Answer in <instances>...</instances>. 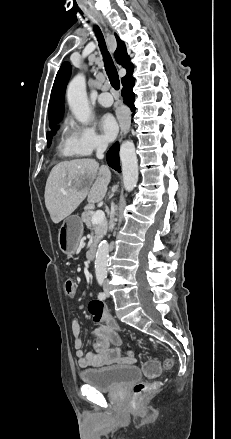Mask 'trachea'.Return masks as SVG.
Listing matches in <instances>:
<instances>
[{"mask_svg":"<svg viewBox=\"0 0 231 439\" xmlns=\"http://www.w3.org/2000/svg\"><path fill=\"white\" fill-rule=\"evenodd\" d=\"M94 31H95L96 37L98 39V42H99L100 50H101L103 57H104L105 70L107 72L110 83L115 90H119V88H120L119 75H118L117 69L114 65V62L111 58V55L107 51V47H106V43H105L103 34L98 26L94 27Z\"/></svg>","mask_w":231,"mask_h":439,"instance_id":"trachea-1","label":"trachea"}]
</instances>
